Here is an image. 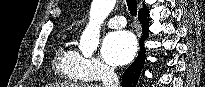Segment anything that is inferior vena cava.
Here are the masks:
<instances>
[{"instance_id": "obj_1", "label": "inferior vena cava", "mask_w": 205, "mask_h": 87, "mask_svg": "<svg viewBox=\"0 0 205 87\" xmlns=\"http://www.w3.org/2000/svg\"><path fill=\"white\" fill-rule=\"evenodd\" d=\"M102 83L104 87H118L119 78L114 72V68L106 66L101 75Z\"/></svg>"}]
</instances>
